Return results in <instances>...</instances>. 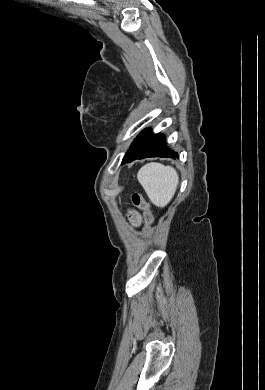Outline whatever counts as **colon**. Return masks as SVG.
Returning a JSON list of instances; mask_svg holds the SVG:
<instances>
[{
	"instance_id": "colon-1",
	"label": "colon",
	"mask_w": 265,
	"mask_h": 390,
	"mask_svg": "<svg viewBox=\"0 0 265 390\" xmlns=\"http://www.w3.org/2000/svg\"><path fill=\"white\" fill-rule=\"evenodd\" d=\"M132 203L138 210H141L143 212L144 217L147 221L152 220V212L150 210L149 203L142 194L134 193L132 195Z\"/></svg>"
}]
</instances>
